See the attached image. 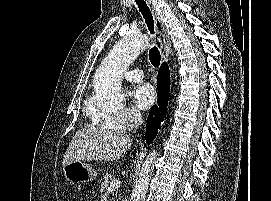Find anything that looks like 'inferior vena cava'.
Returning a JSON list of instances; mask_svg holds the SVG:
<instances>
[{
  "instance_id": "inferior-vena-cava-1",
  "label": "inferior vena cava",
  "mask_w": 271,
  "mask_h": 201,
  "mask_svg": "<svg viewBox=\"0 0 271 201\" xmlns=\"http://www.w3.org/2000/svg\"><path fill=\"white\" fill-rule=\"evenodd\" d=\"M131 118L134 122V128H135V131L136 129H138V127L141 125L142 123V117H141V114L139 112H132L131 114Z\"/></svg>"
}]
</instances>
